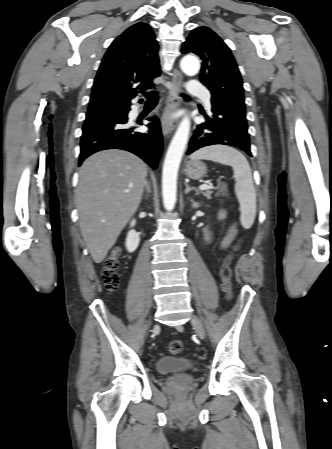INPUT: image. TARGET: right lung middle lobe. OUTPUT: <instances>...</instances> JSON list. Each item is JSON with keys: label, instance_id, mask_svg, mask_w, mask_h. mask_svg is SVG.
<instances>
[{"label": "right lung middle lobe", "instance_id": "dd1d6c3e", "mask_svg": "<svg viewBox=\"0 0 332 449\" xmlns=\"http://www.w3.org/2000/svg\"><path fill=\"white\" fill-rule=\"evenodd\" d=\"M126 109H112L108 111H102V112H95V113H87L86 115V121L99 119L101 117H104L109 114H115V115H123Z\"/></svg>", "mask_w": 332, "mask_h": 449}]
</instances>
